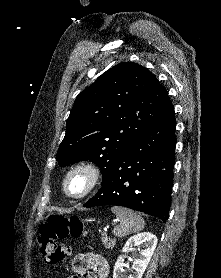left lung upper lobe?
<instances>
[{
    "label": "left lung upper lobe",
    "mask_w": 221,
    "mask_h": 278,
    "mask_svg": "<svg viewBox=\"0 0 221 278\" xmlns=\"http://www.w3.org/2000/svg\"><path fill=\"white\" fill-rule=\"evenodd\" d=\"M171 106L152 73L135 63H120L77 96L56 160L66 166L89 159L104 178L121 152Z\"/></svg>",
    "instance_id": "left-lung-upper-lobe-1"
}]
</instances>
